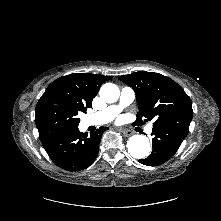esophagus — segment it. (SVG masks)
<instances>
[{
	"mask_svg": "<svg viewBox=\"0 0 221 221\" xmlns=\"http://www.w3.org/2000/svg\"><path fill=\"white\" fill-rule=\"evenodd\" d=\"M121 132H122L125 136H130V135H132V132L129 131V130L121 129Z\"/></svg>",
	"mask_w": 221,
	"mask_h": 221,
	"instance_id": "34e87169",
	"label": "esophagus"
}]
</instances>
